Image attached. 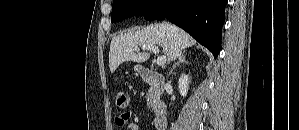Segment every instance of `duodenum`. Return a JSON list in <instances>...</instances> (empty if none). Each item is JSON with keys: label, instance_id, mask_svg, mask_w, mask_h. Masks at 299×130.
I'll list each match as a JSON object with an SVG mask.
<instances>
[{"label": "duodenum", "instance_id": "1", "mask_svg": "<svg viewBox=\"0 0 299 130\" xmlns=\"http://www.w3.org/2000/svg\"><path fill=\"white\" fill-rule=\"evenodd\" d=\"M138 73L144 81H146L153 87L152 94L155 99L154 124L158 130H163L167 126V114H168V106L162 99V96L165 93L164 78L159 73L144 67H140L138 69Z\"/></svg>", "mask_w": 299, "mask_h": 130}]
</instances>
